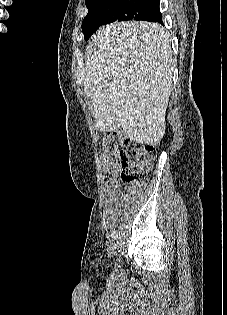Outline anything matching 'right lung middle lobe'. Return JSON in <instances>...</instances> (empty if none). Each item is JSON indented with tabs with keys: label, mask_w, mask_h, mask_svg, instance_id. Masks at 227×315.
Returning a JSON list of instances; mask_svg holds the SVG:
<instances>
[{
	"label": "right lung middle lobe",
	"mask_w": 227,
	"mask_h": 315,
	"mask_svg": "<svg viewBox=\"0 0 227 315\" xmlns=\"http://www.w3.org/2000/svg\"><path fill=\"white\" fill-rule=\"evenodd\" d=\"M85 4L88 14L82 22V32L88 40L100 26L114 21L155 22L159 0H93Z\"/></svg>",
	"instance_id": "1"
}]
</instances>
